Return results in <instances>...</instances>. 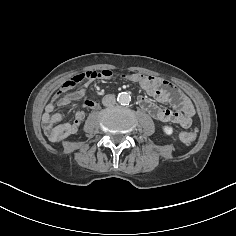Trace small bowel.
<instances>
[{
  "label": "small bowel",
  "instance_id": "small-bowel-1",
  "mask_svg": "<svg viewBox=\"0 0 236 236\" xmlns=\"http://www.w3.org/2000/svg\"><path fill=\"white\" fill-rule=\"evenodd\" d=\"M99 73L95 71H86L68 78L62 83L58 91L46 104L42 116V125L45 134L50 141L59 142L77 132L85 117L83 110L75 111L73 121L70 123H62L63 115L54 113V110L57 106H67L72 101L83 99L86 95L88 83L95 78H110L99 76ZM133 75L135 76V79L130 82L139 83L146 92V96L141 95L138 97V103L144 111L148 112L159 122H172L184 129L191 126L195 108L191 100L183 92L174 88L169 82L159 77L142 76L140 74ZM81 82L86 83L77 90H74ZM149 97L154 98L162 104L170 103L173 106V109L161 108ZM97 106V101L89 99L83 101V107L85 108L94 109Z\"/></svg>",
  "mask_w": 236,
  "mask_h": 236
}]
</instances>
